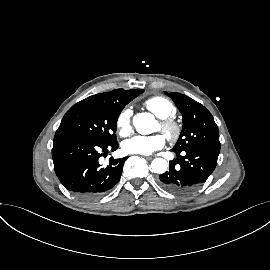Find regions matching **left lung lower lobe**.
<instances>
[{"label":"left lung lower lobe","mask_w":270,"mask_h":270,"mask_svg":"<svg viewBox=\"0 0 270 270\" xmlns=\"http://www.w3.org/2000/svg\"><path fill=\"white\" fill-rule=\"evenodd\" d=\"M172 151L178 158L170 162L169 171L159 176V184L163 189L181 195L195 191L207 180L217 165L219 155L200 148Z\"/></svg>","instance_id":"obj_1"}]
</instances>
